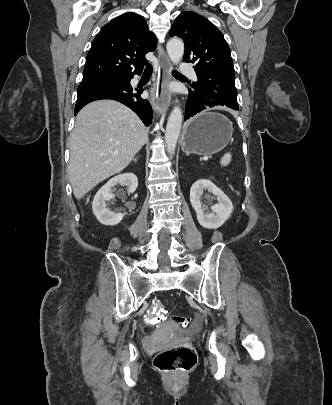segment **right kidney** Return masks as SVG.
Segmentation results:
<instances>
[{
	"label": "right kidney",
	"instance_id": "obj_1",
	"mask_svg": "<svg viewBox=\"0 0 332 405\" xmlns=\"http://www.w3.org/2000/svg\"><path fill=\"white\" fill-rule=\"evenodd\" d=\"M117 184L126 186L130 193H134L138 186V179L133 173L119 174L111 178L98 190L92 202V210L97 220L103 225H117L124 217V214L109 210L106 203V201L114 200L111 189Z\"/></svg>",
	"mask_w": 332,
	"mask_h": 405
}]
</instances>
